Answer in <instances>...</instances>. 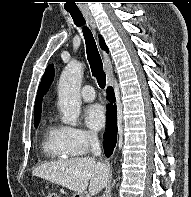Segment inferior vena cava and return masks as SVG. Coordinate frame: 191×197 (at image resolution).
<instances>
[{
    "mask_svg": "<svg viewBox=\"0 0 191 197\" xmlns=\"http://www.w3.org/2000/svg\"><path fill=\"white\" fill-rule=\"evenodd\" d=\"M88 138H89V143L91 146V152L94 154V156H100L101 147H100V142L98 140V137L95 134H90Z\"/></svg>",
    "mask_w": 191,
    "mask_h": 197,
    "instance_id": "1",
    "label": "inferior vena cava"
}]
</instances>
